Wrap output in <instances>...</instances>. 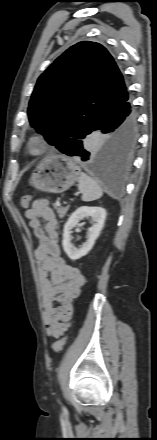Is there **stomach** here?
<instances>
[{
	"mask_svg": "<svg viewBox=\"0 0 157 440\" xmlns=\"http://www.w3.org/2000/svg\"><path fill=\"white\" fill-rule=\"evenodd\" d=\"M79 166L68 157L53 155L39 162L30 184L47 193H62L79 180Z\"/></svg>",
	"mask_w": 157,
	"mask_h": 440,
	"instance_id": "1",
	"label": "stomach"
}]
</instances>
